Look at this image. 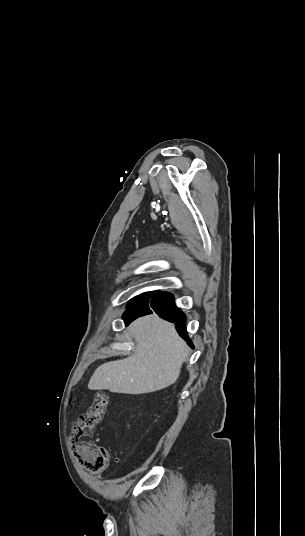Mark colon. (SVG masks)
Listing matches in <instances>:
<instances>
[{
    "label": "colon",
    "mask_w": 305,
    "mask_h": 536,
    "mask_svg": "<svg viewBox=\"0 0 305 536\" xmlns=\"http://www.w3.org/2000/svg\"><path fill=\"white\" fill-rule=\"evenodd\" d=\"M108 398L107 395L99 393L95 396L88 411L81 414L74 423V432L67 438L68 444H76L73 459L76 462H83L82 468L85 471L98 472L105 471L109 461V452L103 445L89 443L97 426L101 423Z\"/></svg>",
    "instance_id": "5ec220e1"
}]
</instances>
